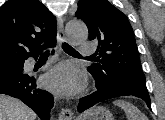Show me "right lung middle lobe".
Returning <instances> with one entry per match:
<instances>
[{
    "instance_id": "right-lung-middle-lobe-1",
    "label": "right lung middle lobe",
    "mask_w": 165,
    "mask_h": 120,
    "mask_svg": "<svg viewBox=\"0 0 165 120\" xmlns=\"http://www.w3.org/2000/svg\"><path fill=\"white\" fill-rule=\"evenodd\" d=\"M21 65H22L21 61L0 63V70H11Z\"/></svg>"
}]
</instances>
